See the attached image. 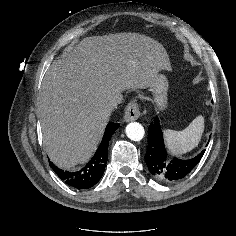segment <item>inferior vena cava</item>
<instances>
[{"label": "inferior vena cava", "instance_id": "obj_1", "mask_svg": "<svg viewBox=\"0 0 236 236\" xmlns=\"http://www.w3.org/2000/svg\"><path fill=\"white\" fill-rule=\"evenodd\" d=\"M120 102H121V100L114 101V102L111 104L112 108L114 109V108L117 106V104H119Z\"/></svg>", "mask_w": 236, "mask_h": 236}]
</instances>
